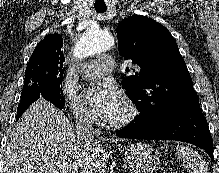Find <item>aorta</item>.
Instances as JSON below:
<instances>
[{"mask_svg": "<svg viewBox=\"0 0 219 173\" xmlns=\"http://www.w3.org/2000/svg\"><path fill=\"white\" fill-rule=\"evenodd\" d=\"M115 45L114 38L100 29H89L76 43L73 56L75 59H83L94 54L106 52Z\"/></svg>", "mask_w": 219, "mask_h": 173, "instance_id": "obj_1", "label": "aorta"}]
</instances>
